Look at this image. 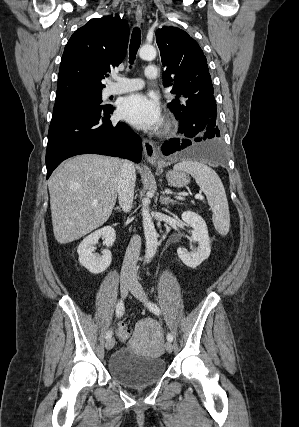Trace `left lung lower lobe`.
<instances>
[{"instance_id":"left-lung-lower-lobe-1","label":"left lung lower lobe","mask_w":299,"mask_h":427,"mask_svg":"<svg viewBox=\"0 0 299 427\" xmlns=\"http://www.w3.org/2000/svg\"><path fill=\"white\" fill-rule=\"evenodd\" d=\"M179 131L190 139H171L162 146L164 155L184 149V154L213 162H224L220 137L212 122L213 114L208 106H184L180 110ZM206 140V142H203ZM202 143L196 144L195 142ZM187 147V148H186Z\"/></svg>"}]
</instances>
